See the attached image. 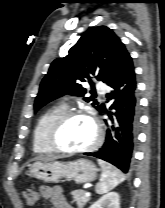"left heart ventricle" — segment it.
I'll return each mask as SVG.
<instances>
[{
  "mask_svg": "<svg viewBox=\"0 0 165 208\" xmlns=\"http://www.w3.org/2000/svg\"><path fill=\"white\" fill-rule=\"evenodd\" d=\"M95 137V128L86 117L70 119L58 134V143L66 149H81L89 146Z\"/></svg>",
  "mask_w": 165,
  "mask_h": 208,
  "instance_id": "1",
  "label": "left heart ventricle"
}]
</instances>
